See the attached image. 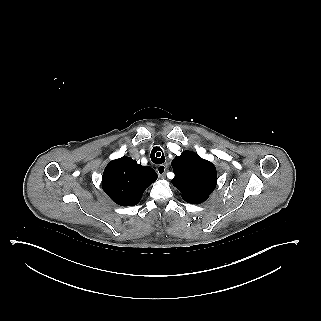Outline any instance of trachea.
<instances>
[{"mask_svg":"<svg viewBox=\"0 0 321 321\" xmlns=\"http://www.w3.org/2000/svg\"><path fill=\"white\" fill-rule=\"evenodd\" d=\"M151 160L155 164H162L165 162V156L159 147H154L151 151Z\"/></svg>","mask_w":321,"mask_h":321,"instance_id":"obj_1","label":"trachea"}]
</instances>
